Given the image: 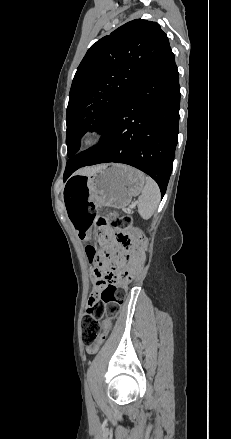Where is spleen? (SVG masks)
Returning <instances> with one entry per match:
<instances>
[{
  "mask_svg": "<svg viewBox=\"0 0 231 439\" xmlns=\"http://www.w3.org/2000/svg\"><path fill=\"white\" fill-rule=\"evenodd\" d=\"M145 186L141 196L138 198V213L147 220L156 211L160 201V189L157 183L150 177H146Z\"/></svg>",
  "mask_w": 231,
  "mask_h": 439,
  "instance_id": "3e777b00",
  "label": "spleen"
}]
</instances>
